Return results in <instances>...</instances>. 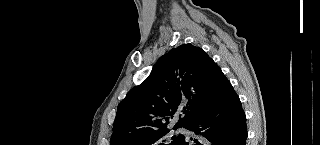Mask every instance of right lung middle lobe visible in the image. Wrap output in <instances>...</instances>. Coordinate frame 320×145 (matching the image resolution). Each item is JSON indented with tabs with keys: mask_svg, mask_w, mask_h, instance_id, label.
Masks as SVG:
<instances>
[{
	"mask_svg": "<svg viewBox=\"0 0 320 145\" xmlns=\"http://www.w3.org/2000/svg\"><path fill=\"white\" fill-rule=\"evenodd\" d=\"M177 128L178 127H174L173 129ZM169 131L167 128L154 131L134 142L132 145H178L183 135H172Z\"/></svg>",
	"mask_w": 320,
	"mask_h": 145,
	"instance_id": "right-lung-middle-lobe-1",
	"label": "right lung middle lobe"
}]
</instances>
